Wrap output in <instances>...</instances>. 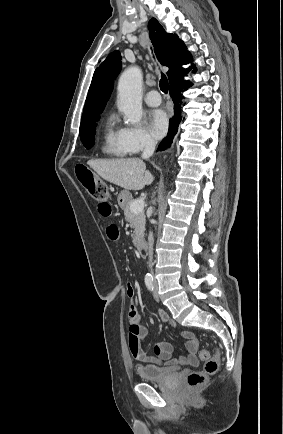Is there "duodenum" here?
I'll use <instances>...</instances> for the list:
<instances>
[{
    "instance_id": "duodenum-1",
    "label": "duodenum",
    "mask_w": 283,
    "mask_h": 434,
    "mask_svg": "<svg viewBox=\"0 0 283 434\" xmlns=\"http://www.w3.org/2000/svg\"><path fill=\"white\" fill-rule=\"evenodd\" d=\"M137 249H138L139 254L142 257H146L147 256V245H146V243L144 241H139L137 243Z\"/></svg>"
}]
</instances>
